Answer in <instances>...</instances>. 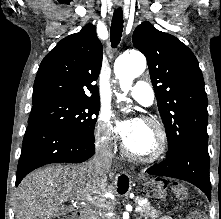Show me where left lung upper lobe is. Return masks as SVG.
Masks as SVG:
<instances>
[{"mask_svg": "<svg viewBox=\"0 0 221 219\" xmlns=\"http://www.w3.org/2000/svg\"><path fill=\"white\" fill-rule=\"evenodd\" d=\"M133 44L147 58L158 108L166 129L168 154L192 140L208 141L207 95L198 61L176 37L143 22Z\"/></svg>", "mask_w": 221, "mask_h": 219, "instance_id": "5c2ea615", "label": "left lung upper lobe"}]
</instances>
